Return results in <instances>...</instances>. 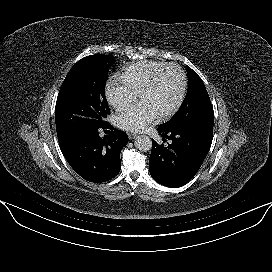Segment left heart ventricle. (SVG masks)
Masks as SVG:
<instances>
[{"label": "left heart ventricle", "mask_w": 272, "mask_h": 272, "mask_svg": "<svg viewBox=\"0 0 272 272\" xmlns=\"http://www.w3.org/2000/svg\"><path fill=\"white\" fill-rule=\"evenodd\" d=\"M181 83L179 71L170 68L164 72L155 88L140 98V102L150 105L158 115H161L176 103Z\"/></svg>", "instance_id": "obj_1"}]
</instances>
